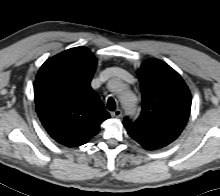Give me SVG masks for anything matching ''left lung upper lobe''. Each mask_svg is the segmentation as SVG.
I'll use <instances>...</instances> for the list:
<instances>
[{
	"label": "left lung upper lobe",
	"mask_w": 220,
	"mask_h": 196,
	"mask_svg": "<svg viewBox=\"0 0 220 196\" xmlns=\"http://www.w3.org/2000/svg\"><path fill=\"white\" fill-rule=\"evenodd\" d=\"M142 90L140 116L123 124L129 134L147 150L173 142L185 127L191 108V94L180 75L157 59L145 61L138 70Z\"/></svg>",
	"instance_id": "1"
}]
</instances>
